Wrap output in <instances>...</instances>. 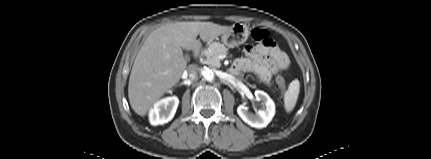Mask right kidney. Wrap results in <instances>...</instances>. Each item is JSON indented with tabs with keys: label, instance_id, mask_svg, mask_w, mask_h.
<instances>
[{
	"label": "right kidney",
	"instance_id": "ca27d5eb",
	"mask_svg": "<svg viewBox=\"0 0 431 159\" xmlns=\"http://www.w3.org/2000/svg\"><path fill=\"white\" fill-rule=\"evenodd\" d=\"M179 104L176 96L164 98L158 101L150 110L149 120L152 125H162L173 119Z\"/></svg>",
	"mask_w": 431,
	"mask_h": 159
}]
</instances>
